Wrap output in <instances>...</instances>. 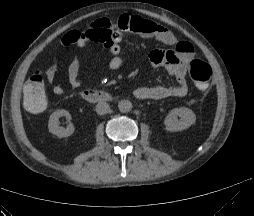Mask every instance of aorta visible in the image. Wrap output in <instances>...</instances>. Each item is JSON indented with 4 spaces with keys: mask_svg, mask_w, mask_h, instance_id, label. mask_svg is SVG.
I'll return each instance as SVG.
<instances>
[{
    "mask_svg": "<svg viewBox=\"0 0 254 216\" xmlns=\"http://www.w3.org/2000/svg\"><path fill=\"white\" fill-rule=\"evenodd\" d=\"M118 108L122 113L130 112L132 109V103L129 100H121L118 103Z\"/></svg>",
    "mask_w": 254,
    "mask_h": 216,
    "instance_id": "762f6f07",
    "label": "aorta"
}]
</instances>
